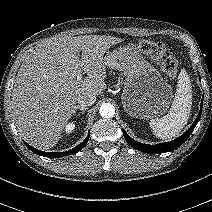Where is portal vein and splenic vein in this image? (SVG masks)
I'll list each match as a JSON object with an SVG mask.
<instances>
[{
	"mask_svg": "<svg viewBox=\"0 0 212 212\" xmlns=\"http://www.w3.org/2000/svg\"><path fill=\"white\" fill-rule=\"evenodd\" d=\"M77 79H78V80H81V79H82V73H79V74L77 75Z\"/></svg>",
	"mask_w": 212,
	"mask_h": 212,
	"instance_id": "obj_1",
	"label": "portal vein and splenic vein"
}]
</instances>
